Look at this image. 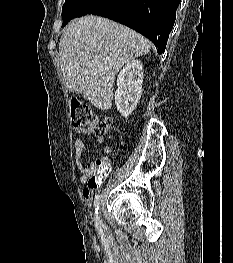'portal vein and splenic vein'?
<instances>
[{
	"label": "portal vein and splenic vein",
	"mask_w": 233,
	"mask_h": 263,
	"mask_svg": "<svg viewBox=\"0 0 233 263\" xmlns=\"http://www.w3.org/2000/svg\"><path fill=\"white\" fill-rule=\"evenodd\" d=\"M93 65H94V64H93V63H91V62L89 63V66H93Z\"/></svg>",
	"instance_id": "18ae733b"
}]
</instances>
